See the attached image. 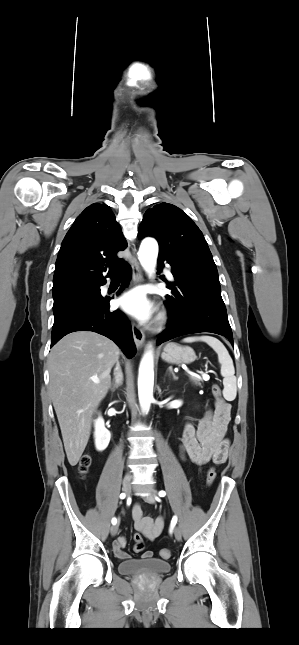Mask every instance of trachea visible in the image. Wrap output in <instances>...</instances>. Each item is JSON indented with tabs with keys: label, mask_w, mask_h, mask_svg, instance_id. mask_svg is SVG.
Instances as JSON below:
<instances>
[{
	"label": "trachea",
	"mask_w": 299,
	"mask_h": 645,
	"mask_svg": "<svg viewBox=\"0 0 299 645\" xmlns=\"http://www.w3.org/2000/svg\"><path fill=\"white\" fill-rule=\"evenodd\" d=\"M120 275H121V271H118L116 276H120Z\"/></svg>",
	"instance_id": "3493384b"
}]
</instances>
